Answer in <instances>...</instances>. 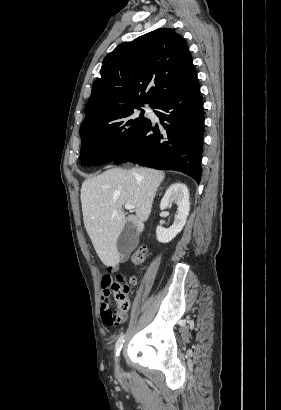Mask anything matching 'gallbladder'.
<instances>
[{"instance_id":"gallbladder-1","label":"gallbladder","mask_w":281,"mask_h":410,"mask_svg":"<svg viewBox=\"0 0 281 410\" xmlns=\"http://www.w3.org/2000/svg\"><path fill=\"white\" fill-rule=\"evenodd\" d=\"M138 236L135 226L127 222L117 240V250L121 260L125 261L134 247L137 245Z\"/></svg>"}]
</instances>
